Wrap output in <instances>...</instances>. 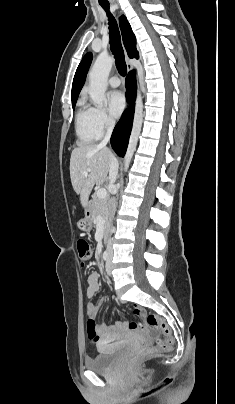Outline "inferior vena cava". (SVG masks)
<instances>
[{"instance_id":"inferior-vena-cava-1","label":"inferior vena cava","mask_w":235,"mask_h":404,"mask_svg":"<svg viewBox=\"0 0 235 404\" xmlns=\"http://www.w3.org/2000/svg\"><path fill=\"white\" fill-rule=\"evenodd\" d=\"M114 124H115V121L112 118H108L106 120L107 131H106V134H105V137H104L103 141L101 142L102 145H105L110 140ZM117 175H118V162H117V160H116V158L114 156H111L110 168H109V180H110L109 189L110 190L113 189V185H114V182H115V180L117 178ZM111 232H113V229H111ZM107 251L109 253H112L111 239H109L108 242H107Z\"/></svg>"}]
</instances>
